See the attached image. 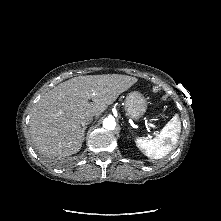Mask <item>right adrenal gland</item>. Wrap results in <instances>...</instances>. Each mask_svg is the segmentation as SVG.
I'll return each instance as SVG.
<instances>
[{
    "instance_id": "2a0ac1e0",
    "label": "right adrenal gland",
    "mask_w": 221,
    "mask_h": 221,
    "mask_svg": "<svg viewBox=\"0 0 221 221\" xmlns=\"http://www.w3.org/2000/svg\"><path fill=\"white\" fill-rule=\"evenodd\" d=\"M86 126H84L83 128H82V132H83V140H84V136H85V130H86Z\"/></svg>"
}]
</instances>
